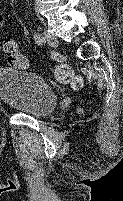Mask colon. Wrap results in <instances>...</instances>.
<instances>
[{
    "label": "colon",
    "mask_w": 123,
    "mask_h": 201,
    "mask_svg": "<svg viewBox=\"0 0 123 201\" xmlns=\"http://www.w3.org/2000/svg\"><path fill=\"white\" fill-rule=\"evenodd\" d=\"M8 63L15 68H27L29 60L17 47L14 40L7 39L2 44ZM55 77L61 83L70 84L73 88L82 86V79L77 76L68 65H59L55 70Z\"/></svg>",
    "instance_id": "1"
}]
</instances>
